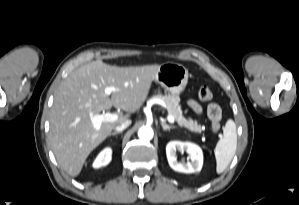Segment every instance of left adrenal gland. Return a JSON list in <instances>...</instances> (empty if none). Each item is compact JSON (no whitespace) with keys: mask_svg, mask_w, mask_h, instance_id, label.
<instances>
[{"mask_svg":"<svg viewBox=\"0 0 299 205\" xmlns=\"http://www.w3.org/2000/svg\"><path fill=\"white\" fill-rule=\"evenodd\" d=\"M163 130H170V129H175V126H169L166 123L162 122L161 123Z\"/></svg>","mask_w":299,"mask_h":205,"instance_id":"left-adrenal-gland-1","label":"left adrenal gland"}]
</instances>
